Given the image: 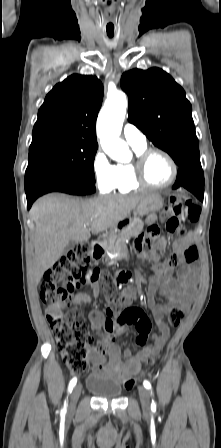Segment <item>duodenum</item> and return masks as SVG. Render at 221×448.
Returning <instances> with one entry per match:
<instances>
[{
	"instance_id": "obj_1",
	"label": "duodenum",
	"mask_w": 221,
	"mask_h": 448,
	"mask_svg": "<svg viewBox=\"0 0 221 448\" xmlns=\"http://www.w3.org/2000/svg\"><path fill=\"white\" fill-rule=\"evenodd\" d=\"M105 246L106 241L105 239H98L92 243V246L90 248V255L94 259H100L105 255ZM130 278V274L128 272H120L118 274V281L123 283L127 282Z\"/></svg>"
}]
</instances>
